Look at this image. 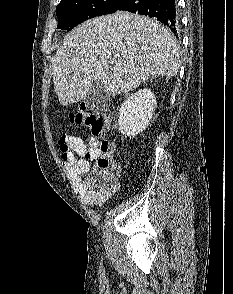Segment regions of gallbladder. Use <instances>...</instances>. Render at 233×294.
<instances>
[{
    "instance_id": "1",
    "label": "gallbladder",
    "mask_w": 233,
    "mask_h": 294,
    "mask_svg": "<svg viewBox=\"0 0 233 294\" xmlns=\"http://www.w3.org/2000/svg\"><path fill=\"white\" fill-rule=\"evenodd\" d=\"M109 100V93L99 82L95 83L84 99L87 107L92 111L106 110Z\"/></svg>"
}]
</instances>
